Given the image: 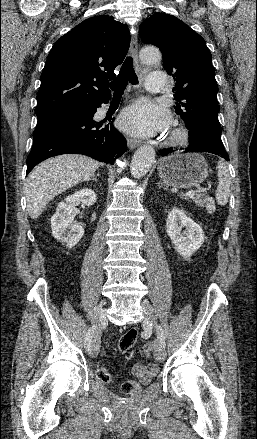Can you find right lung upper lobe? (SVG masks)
Instances as JSON below:
<instances>
[{
  "mask_svg": "<svg viewBox=\"0 0 257 439\" xmlns=\"http://www.w3.org/2000/svg\"><path fill=\"white\" fill-rule=\"evenodd\" d=\"M129 44L127 25L108 15L88 18L59 38L41 74L37 118L108 100V81L116 77Z\"/></svg>",
  "mask_w": 257,
  "mask_h": 439,
  "instance_id": "cb5924a9",
  "label": "right lung upper lobe"
}]
</instances>
